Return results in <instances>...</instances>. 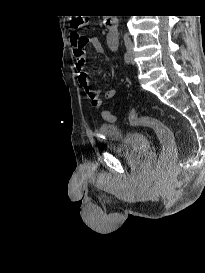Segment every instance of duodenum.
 I'll return each mask as SVG.
<instances>
[{
	"label": "duodenum",
	"instance_id": "410a0bca",
	"mask_svg": "<svg viewBox=\"0 0 205 273\" xmlns=\"http://www.w3.org/2000/svg\"><path fill=\"white\" fill-rule=\"evenodd\" d=\"M105 26L107 27L111 34H115L117 27V17L114 16L107 17L105 20Z\"/></svg>",
	"mask_w": 205,
	"mask_h": 273
}]
</instances>
